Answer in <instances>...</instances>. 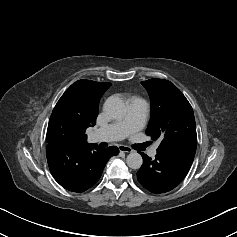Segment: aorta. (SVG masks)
I'll list each match as a JSON object with an SVG mask.
<instances>
[{"label": "aorta", "instance_id": "762f6f07", "mask_svg": "<svg viewBox=\"0 0 237 237\" xmlns=\"http://www.w3.org/2000/svg\"><path fill=\"white\" fill-rule=\"evenodd\" d=\"M104 111L114 119H121L126 115L127 109L121 98L111 96L104 103ZM126 163L131 169H139L142 166L143 159L139 153L131 152L126 158Z\"/></svg>", "mask_w": 237, "mask_h": 237}]
</instances>
